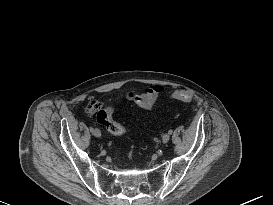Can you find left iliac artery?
Returning a JSON list of instances; mask_svg holds the SVG:
<instances>
[{
    "mask_svg": "<svg viewBox=\"0 0 273 205\" xmlns=\"http://www.w3.org/2000/svg\"><path fill=\"white\" fill-rule=\"evenodd\" d=\"M173 133V130L172 129H170L169 131H168V134H172Z\"/></svg>",
    "mask_w": 273,
    "mask_h": 205,
    "instance_id": "obj_1",
    "label": "left iliac artery"
}]
</instances>
